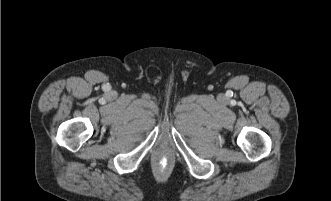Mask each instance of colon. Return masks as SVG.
I'll return each mask as SVG.
<instances>
[{"mask_svg":"<svg viewBox=\"0 0 331 201\" xmlns=\"http://www.w3.org/2000/svg\"><path fill=\"white\" fill-rule=\"evenodd\" d=\"M156 164L158 165L159 168L167 169L170 166L171 161L168 157L161 156L159 159H157Z\"/></svg>","mask_w":331,"mask_h":201,"instance_id":"obj_1","label":"colon"}]
</instances>
